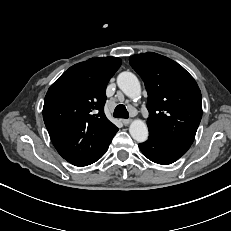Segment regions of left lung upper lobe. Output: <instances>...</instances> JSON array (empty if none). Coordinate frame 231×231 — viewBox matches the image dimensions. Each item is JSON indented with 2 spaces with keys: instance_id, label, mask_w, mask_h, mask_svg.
Listing matches in <instances>:
<instances>
[{
  "instance_id": "left-lung-upper-lobe-1",
  "label": "left lung upper lobe",
  "mask_w": 231,
  "mask_h": 231,
  "mask_svg": "<svg viewBox=\"0 0 231 231\" xmlns=\"http://www.w3.org/2000/svg\"><path fill=\"white\" fill-rule=\"evenodd\" d=\"M148 92L149 132L189 149L202 117L194 78L175 61L153 52L130 57Z\"/></svg>"
}]
</instances>
